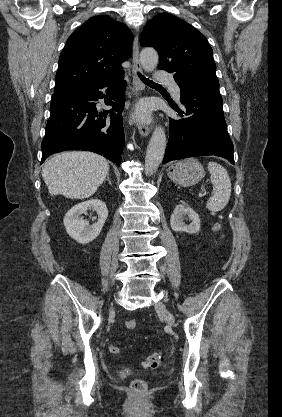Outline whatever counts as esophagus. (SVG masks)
Segmentation results:
<instances>
[{"instance_id": "obj_1", "label": "esophagus", "mask_w": 282, "mask_h": 417, "mask_svg": "<svg viewBox=\"0 0 282 417\" xmlns=\"http://www.w3.org/2000/svg\"><path fill=\"white\" fill-rule=\"evenodd\" d=\"M133 69H132V92L134 95L135 101L140 97L143 90L145 89V85L140 79L138 73H142L141 62L139 58V43H138V36L136 35L133 43ZM138 131L140 135L143 137H147L151 132V127L142 121H138Z\"/></svg>"}]
</instances>
